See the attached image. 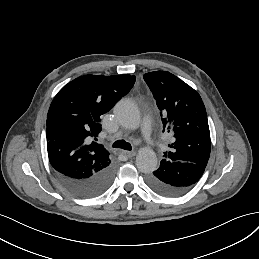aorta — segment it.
I'll return each mask as SVG.
<instances>
[{"mask_svg":"<svg viewBox=\"0 0 259 259\" xmlns=\"http://www.w3.org/2000/svg\"><path fill=\"white\" fill-rule=\"evenodd\" d=\"M118 122L128 129H136L140 124V113L131 100L122 99L114 107ZM158 160L150 148H142L136 156V166L143 173H151L157 169Z\"/></svg>","mask_w":259,"mask_h":259,"instance_id":"762f6f07","label":"aorta"}]
</instances>
